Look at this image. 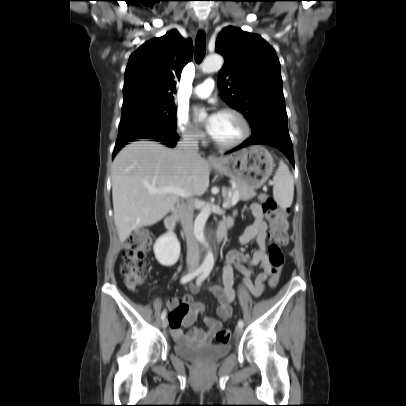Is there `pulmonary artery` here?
Returning a JSON list of instances; mask_svg holds the SVG:
<instances>
[{
    "label": "pulmonary artery",
    "mask_w": 406,
    "mask_h": 406,
    "mask_svg": "<svg viewBox=\"0 0 406 406\" xmlns=\"http://www.w3.org/2000/svg\"><path fill=\"white\" fill-rule=\"evenodd\" d=\"M215 87L214 80L211 78L205 79L201 84L197 85L192 92V95L197 98H207L212 93Z\"/></svg>",
    "instance_id": "1"
}]
</instances>
